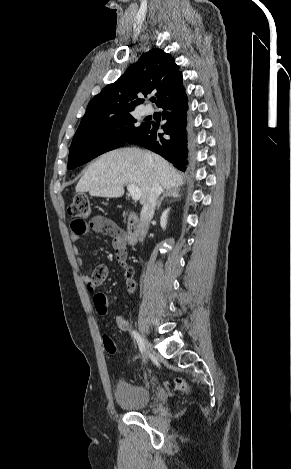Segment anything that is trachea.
Segmentation results:
<instances>
[{
	"instance_id": "trachea-1",
	"label": "trachea",
	"mask_w": 291,
	"mask_h": 469,
	"mask_svg": "<svg viewBox=\"0 0 291 469\" xmlns=\"http://www.w3.org/2000/svg\"><path fill=\"white\" fill-rule=\"evenodd\" d=\"M151 101H152V102H155V101H156V98H155V97L151 98Z\"/></svg>"
}]
</instances>
